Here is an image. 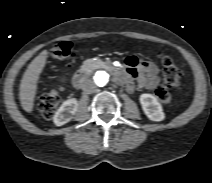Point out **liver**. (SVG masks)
I'll list each match as a JSON object with an SVG mask.
<instances>
[{"instance_id": "6515ba94", "label": "liver", "mask_w": 212, "mask_h": 183, "mask_svg": "<svg viewBox=\"0 0 212 183\" xmlns=\"http://www.w3.org/2000/svg\"><path fill=\"white\" fill-rule=\"evenodd\" d=\"M47 55L48 52L44 50L29 64L20 83L19 97L21 106L28 113L33 111L37 84L45 67Z\"/></svg>"}]
</instances>
